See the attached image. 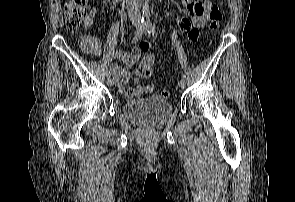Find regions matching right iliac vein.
Returning <instances> with one entry per match:
<instances>
[{"mask_svg":"<svg viewBox=\"0 0 295 202\" xmlns=\"http://www.w3.org/2000/svg\"><path fill=\"white\" fill-rule=\"evenodd\" d=\"M115 83H116V81H115L114 78H112L111 76H108V77H107V84H108L109 86H114Z\"/></svg>","mask_w":295,"mask_h":202,"instance_id":"right-iliac-vein-1","label":"right iliac vein"}]
</instances>
